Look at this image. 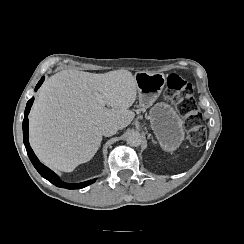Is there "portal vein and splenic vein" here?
Listing matches in <instances>:
<instances>
[{
	"mask_svg": "<svg viewBox=\"0 0 244 244\" xmlns=\"http://www.w3.org/2000/svg\"><path fill=\"white\" fill-rule=\"evenodd\" d=\"M97 100H98L100 105L105 106L104 99L100 94L97 95Z\"/></svg>",
	"mask_w": 244,
	"mask_h": 244,
	"instance_id": "1",
	"label": "portal vein and splenic vein"
}]
</instances>
